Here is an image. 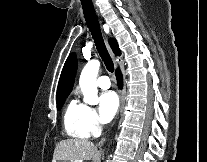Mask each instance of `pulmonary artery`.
<instances>
[{"label":"pulmonary artery","mask_w":207,"mask_h":162,"mask_svg":"<svg viewBox=\"0 0 207 162\" xmlns=\"http://www.w3.org/2000/svg\"><path fill=\"white\" fill-rule=\"evenodd\" d=\"M97 86L101 89H108L111 86L110 80L107 76L103 75L97 79Z\"/></svg>","instance_id":"pulmonary-artery-1"}]
</instances>
